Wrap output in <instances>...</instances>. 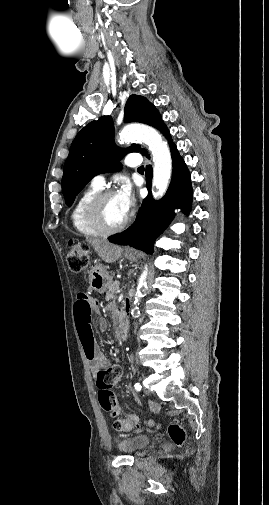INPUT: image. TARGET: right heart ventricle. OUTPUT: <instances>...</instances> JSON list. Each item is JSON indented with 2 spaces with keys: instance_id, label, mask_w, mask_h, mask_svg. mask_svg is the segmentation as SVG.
Returning <instances> with one entry per match:
<instances>
[{
  "instance_id": "e07e8e85",
  "label": "right heart ventricle",
  "mask_w": 269,
  "mask_h": 505,
  "mask_svg": "<svg viewBox=\"0 0 269 505\" xmlns=\"http://www.w3.org/2000/svg\"><path fill=\"white\" fill-rule=\"evenodd\" d=\"M101 191V188L91 184L86 188L76 200L70 215L71 223L74 230L84 237L100 236L88 222L86 218V208L91 199Z\"/></svg>"
}]
</instances>
